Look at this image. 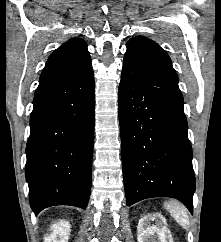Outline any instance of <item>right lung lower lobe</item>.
<instances>
[{
	"mask_svg": "<svg viewBox=\"0 0 221 242\" xmlns=\"http://www.w3.org/2000/svg\"><path fill=\"white\" fill-rule=\"evenodd\" d=\"M94 87L91 71L70 85L34 96L25 174L35 214L56 205L87 206L94 142Z\"/></svg>",
	"mask_w": 221,
	"mask_h": 242,
	"instance_id": "right-lung-lower-lobe-1",
	"label": "right lung lower lobe"
}]
</instances>
